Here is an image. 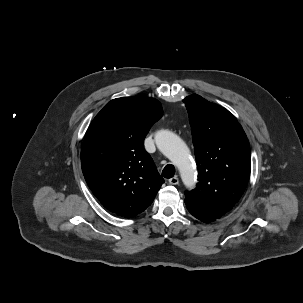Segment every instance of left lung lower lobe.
<instances>
[{"label": "left lung lower lobe", "mask_w": 303, "mask_h": 303, "mask_svg": "<svg viewBox=\"0 0 303 303\" xmlns=\"http://www.w3.org/2000/svg\"><path fill=\"white\" fill-rule=\"evenodd\" d=\"M186 207L188 209V211L194 216L196 217L197 219L201 220L202 222H205V223H210L214 220H216L215 217H213L212 215L206 213V212H203L199 209H196L188 204H186Z\"/></svg>", "instance_id": "obj_1"}]
</instances>
